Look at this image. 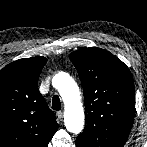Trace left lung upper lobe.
Listing matches in <instances>:
<instances>
[{
  "label": "left lung upper lobe",
  "mask_w": 147,
  "mask_h": 147,
  "mask_svg": "<svg viewBox=\"0 0 147 147\" xmlns=\"http://www.w3.org/2000/svg\"><path fill=\"white\" fill-rule=\"evenodd\" d=\"M85 99L86 126L76 147H123L135 114L134 81L129 68L109 51L82 48L69 55Z\"/></svg>",
  "instance_id": "obj_1"
}]
</instances>
